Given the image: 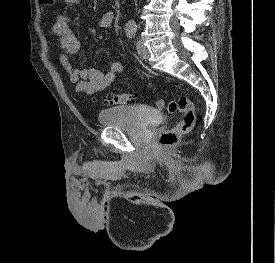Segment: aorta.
I'll list each match as a JSON object with an SVG mask.
<instances>
[{
  "label": "aorta",
  "mask_w": 275,
  "mask_h": 263,
  "mask_svg": "<svg viewBox=\"0 0 275 263\" xmlns=\"http://www.w3.org/2000/svg\"><path fill=\"white\" fill-rule=\"evenodd\" d=\"M136 27V23L134 20H130L128 23H127V28L128 29H134Z\"/></svg>",
  "instance_id": "762f6f07"
}]
</instances>
